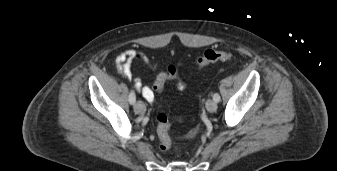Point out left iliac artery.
<instances>
[{
    "label": "left iliac artery",
    "mask_w": 337,
    "mask_h": 171,
    "mask_svg": "<svg viewBox=\"0 0 337 171\" xmlns=\"http://www.w3.org/2000/svg\"><path fill=\"white\" fill-rule=\"evenodd\" d=\"M213 100H214L215 102H219V101H220V95H219L218 93H215V94L213 95Z\"/></svg>",
    "instance_id": "1"
}]
</instances>
